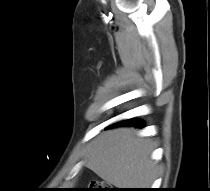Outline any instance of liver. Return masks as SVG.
Segmentation results:
<instances>
[{
	"instance_id": "1",
	"label": "liver",
	"mask_w": 210,
	"mask_h": 191,
	"mask_svg": "<svg viewBox=\"0 0 210 191\" xmlns=\"http://www.w3.org/2000/svg\"><path fill=\"white\" fill-rule=\"evenodd\" d=\"M151 153L150 140L139 137L132 128H117L93 141L85 166L118 188H146L155 177Z\"/></svg>"
}]
</instances>
